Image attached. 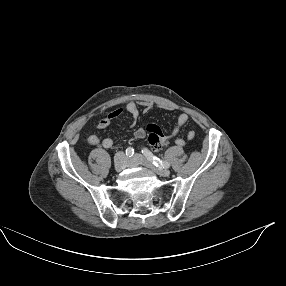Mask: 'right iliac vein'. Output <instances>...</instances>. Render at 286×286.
Wrapping results in <instances>:
<instances>
[{"mask_svg": "<svg viewBox=\"0 0 286 286\" xmlns=\"http://www.w3.org/2000/svg\"><path fill=\"white\" fill-rule=\"evenodd\" d=\"M128 163H129L128 158L123 153H119L116 156L114 162L115 170L116 171L124 170L127 167Z\"/></svg>", "mask_w": 286, "mask_h": 286, "instance_id": "63e3f726", "label": "right iliac vein"}]
</instances>
